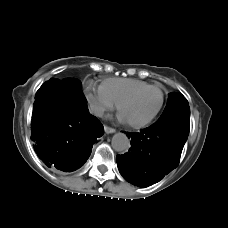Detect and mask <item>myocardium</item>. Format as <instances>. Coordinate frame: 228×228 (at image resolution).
I'll return each mask as SVG.
<instances>
[{
	"label": "myocardium",
	"mask_w": 228,
	"mask_h": 228,
	"mask_svg": "<svg viewBox=\"0 0 228 228\" xmlns=\"http://www.w3.org/2000/svg\"><path fill=\"white\" fill-rule=\"evenodd\" d=\"M149 90H156L159 92L160 94V101H159V104L157 106V108L155 109V111L153 112L152 115H150L147 119L141 121V122H130V121H127L128 124L133 127V128H142V127H145L147 126L149 123H151L154 118L158 115L159 111L161 110L162 108V105L164 103V93L163 91L157 87V86H148L146 88H143V89H140V90H137L135 92H132L130 94H128L127 96H125L123 99L120 100V102L117 104V108L118 110L120 111V113H122V107L123 105L128 102L129 100H131L132 98L136 97L137 95H140L146 91H149Z\"/></svg>",
	"instance_id": "f54148a6"
}]
</instances>
